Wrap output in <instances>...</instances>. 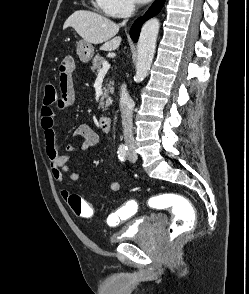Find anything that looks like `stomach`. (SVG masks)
<instances>
[{
	"label": "stomach",
	"instance_id": "stomach-1",
	"mask_svg": "<svg viewBox=\"0 0 249 294\" xmlns=\"http://www.w3.org/2000/svg\"><path fill=\"white\" fill-rule=\"evenodd\" d=\"M77 55L83 63H87L94 55V47L92 44L81 40L77 43Z\"/></svg>",
	"mask_w": 249,
	"mask_h": 294
}]
</instances>
